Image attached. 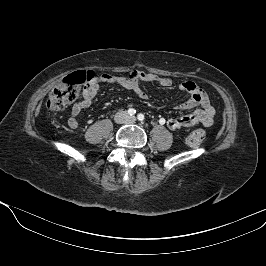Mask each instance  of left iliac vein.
<instances>
[{"label": "left iliac vein", "instance_id": "left-iliac-vein-1", "mask_svg": "<svg viewBox=\"0 0 266 266\" xmlns=\"http://www.w3.org/2000/svg\"><path fill=\"white\" fill-rule=\"evenodd\" d=\"M135 120H136L135 117H130V118H129V121H131V122H135Z\"/></svg>", "mask_w": 266, "mask_h": 266}]
</instances>
